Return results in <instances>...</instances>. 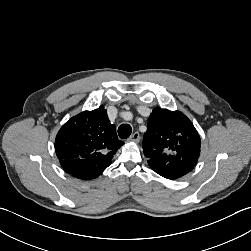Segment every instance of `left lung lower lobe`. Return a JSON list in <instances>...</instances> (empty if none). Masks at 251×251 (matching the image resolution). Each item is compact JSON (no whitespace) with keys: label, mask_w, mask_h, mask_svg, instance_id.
Returning <instances> with one entry per match:
<instances>
[{"label":"left lung lower lobe","mask_w":251,"mask_h":251,"mask_svg":"<svg viewBox=\"0 0 251 251\" xmlns=\"http://www.w3.org/2000/svg\"><path fill=\"white\" fill-rule=\"evenodd\" d=\"M148 163L149 165L151 166V168L156 172L158 173L159 175L167 178V179H177L183 175H185L186 173H188L189 171H191L192 169L191 168H186L185 170L183 171H177V170H172L171 168L169 167H162V166H159V167H154L151 163V160H148Z\"/></svg>","instance_id":"1"}]
</instances>
